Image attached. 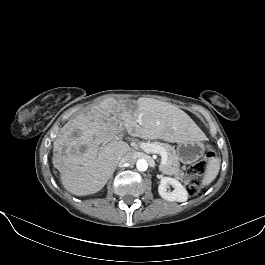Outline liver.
Segmentation results:
<instances>
[{
  "instance_id": "6515ba94",
  "label": "liver",
  "mask_w": 265,
  "mask_h": 265,
  "mask_svg": "<svg viewBox=\"0 0 265 265\" xmlns=\"http://www.w3.org/2000/svg\"><path fill=\"white\" fill-rule=\"evenodd\" d=\"M139 136L168 142L199 140L200 129L178 107L151 98L137 100L131 111L126 101L108 98L68 121L53 143V164L63 187L76 196L97 193L113 174L119 160L131 151L119 134L132 130Z\"/></svg>"
}]
</instances>
